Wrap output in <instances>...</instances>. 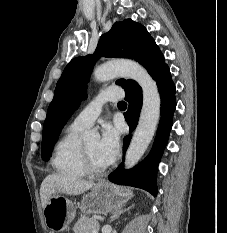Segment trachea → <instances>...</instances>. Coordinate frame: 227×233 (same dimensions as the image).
<instances>
[{
	"instance_id": "1",
	"label": "trachea",
	"mask_w": 227,
	"mask_h": 233,
	"mask_svg": "<svg viewBox=\"0 0 227 233\" xmlns=\"http://www.w3.org/2000/svg\"><path fill=\"white\" fill-rule=\"evenodd\" d=\"M127 104L124 101H119L118 106H126Z\"/></svg>"
}]
</instances>
